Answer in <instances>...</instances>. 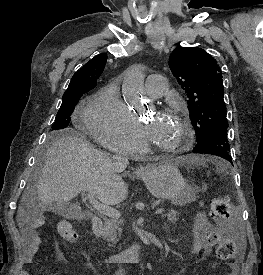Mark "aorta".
Returning a JSON list of instances; mask_svg holds the SVG:
<instances>
[{
  "label": "aorta",
  "mask_w": 263,
  "mask_h": 275,
  "mask_svg": "<svg viewBox=\"0 0 263 275\" xmlns=\"http://www.w3.org/2000/svg\"><path fill=\"white\" fill-rule=\"evenodd\" d=\"M144 92V72L140 66L129 68L125 74L122 93L128 103L140 101Z\"/></svg>",
  "instance_id": "obj_1"
}]
</instances>
